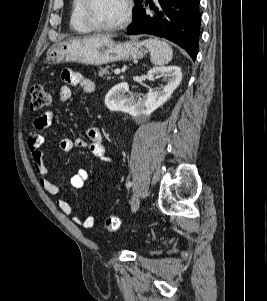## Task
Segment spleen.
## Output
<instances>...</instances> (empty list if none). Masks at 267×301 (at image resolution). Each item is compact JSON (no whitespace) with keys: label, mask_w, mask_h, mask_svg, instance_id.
Here are the masks:
<instances>
[{"label":"spleen","mask_w":267,"mask_h":301,"mask_svg":"<svg viewBox=\"0 0 267 301\" xmlns=\"http://www.w3.org/2000/svg\"><path fill=\"white\" fill-rule=\"evenodd\" d=\"M142 44L149 50L151 62L155 66L168 64L173 57V50L168 43L158 39H147Z\"/></svg>","instance_id":"obj_1"}]
</instances>
